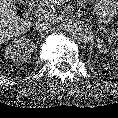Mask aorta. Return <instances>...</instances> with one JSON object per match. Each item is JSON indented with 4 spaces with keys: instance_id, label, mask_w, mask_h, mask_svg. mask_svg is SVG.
Instances as JSON below:
<instances>
[{
    "instance_id": "762f6f07",
    "label": "aorta",
    "mask_w": 118,
    "mask_h": 118,
    "mask_svg": "<svg viewBox=\"0 0 118 118\" xmlns=\"http://www.w3.org/2000/svg\"><path fill=\"white\" fill-rule=\"evenodd\" d=\"M68 32L76 39L86 42L91 38L89 30L79 20L69 19L66 22Z\"/></svg>"
}]
</instances>
